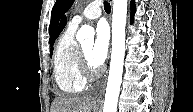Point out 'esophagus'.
Returning <instances> with one entry per match:
<instances>
[{
  "instance_id": "34e87169",
  "label": "esophagus",
  "mask_w": 193,
  "mask_h": 112,
  "mask_svg": "<svg viewBox=\"0 0 193 112\" xmlns=\"http://www.w3.org/2000/svg\"><path fill=\"white\" fill-rule=\"evenodd\" d=\"M104 90H105V84L103 85L101 91L99 92V94L97 95V100H101L104 94Z\"/></svg>"
}]
</instances>
